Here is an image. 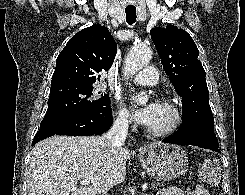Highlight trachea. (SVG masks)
<instances>
[{
	"mask_svg": "<svg viewBox=\"0 0 245 195\" xmlns=\"http://www.w3.org/2000/svg\"><path fill=\"white\" fill-rule=\"evenodd\" d=\"M126 12V20L129 25H132L136 21V8L135 7H127L125 8Z\"/></svg>",
	"mask_w": 245,
	"mask_h": 195,
	"instance_id": "3493384b",
	"label": "trachea"
}]
</instances>
